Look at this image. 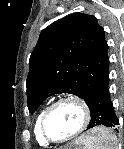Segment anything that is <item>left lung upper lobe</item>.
Returning <instances> with one entry per match:
<instances>
[{
    "instance_id": "left-lung-upper-lobe-1",
    "label": "left lung upper lobe",
    "mask_w": 124,
    "mask_h": 149,
    "mask_svg": "<svg viewBox=\"0 0 124 149\" xmlns=\"http://www.w3.org/2000/svg\"><path fill=\"white\" fill-rule=\"evenodd\" d=\"M107 51L105 32L92 15L70 14L45 28L29 60L30 113L56 93L85 100L109 77Z\"/></svg>"
}]
</instances>
